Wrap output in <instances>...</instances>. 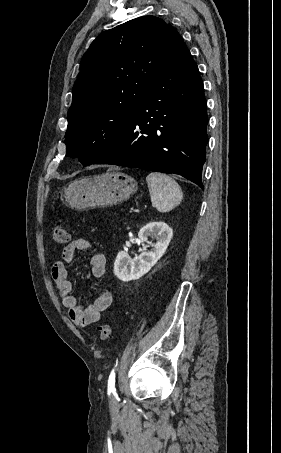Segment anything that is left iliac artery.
<instances>
[{"label":"left iliac artery","instance_id":"44dca946","mask_svg":"<svg viewBox=\"0 0 281 453\" xmlns=\"http://www.w3.org/2000/svg\"><path fill=\"white\" fill-rule=\"evenodd\" d=\"M115 370L113 369L111 374L109 375V380H108V391H114L116 390L115 388Z\"/></svg>","mask_w":281,"mask_h":453}]
</instances>
